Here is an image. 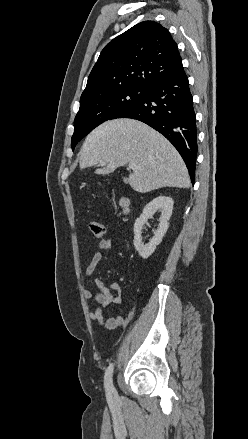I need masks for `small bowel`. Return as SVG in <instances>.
Instances as JSON below:
<instances>
[{"label": "small bowel", "mask_w": 248, "mask_h": 439, "mask_svg": "<svg viewBox=\"0 0 248 439\" xmlns=\"http://www.w3.org/2000/svg\"><path fill=\"white\" fill-rule=\"evenodd\" d=\"M111 248V241L108 239H103L99 243V251L96 252L89 264L85 269V274L87 276L93 274L98 264L101 262L103 258V251H106ZM95 285L97 287V292H92L90 289L85 288L83 290V295L85 299L92 301L97 305H101L104 308H107L111 304L120 305L123 302L122 297V287L116 282H105L101 279L95 280ZM135 315V307L133 306L128 313L127 316H116L111 318H105L101 309L99 307L93 308L89 312V317L91 320L97 322L100 326L107 329H114L121 326H126L133 319Z\"/></svg>", "instance_id": "small-bowel-1"}]
</instances>
